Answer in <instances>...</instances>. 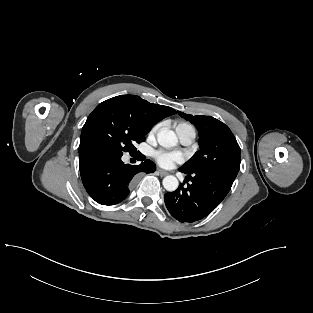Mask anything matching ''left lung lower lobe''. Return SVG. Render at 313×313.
I'll list each match as a JSON object with an SVG mask.
<instances>
[{
  "mask_svg": "<svg viewBox=\"0 0 313 313\" xmlns=\"http://www.w3.org/2000/svg\"><path fill=\"white\" fill-rule=\"evenodd\" d=\"M187 174L191 184L184 183L175 192L166 193L164 201L170 214L180 222H195L209 215L228 194L234 177L221 173Z\"/></svg>",
  "mask_w": 313,
  "mask_h": 313,
  "instance_id": "0a47b994",
  "label": "left lung lower lobe"
}]
</instances>
